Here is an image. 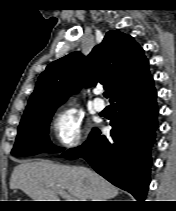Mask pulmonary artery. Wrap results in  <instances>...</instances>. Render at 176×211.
<instances>
[{"label":"pulmonary artery","mask_w":176,"mask_h":211,"mask_svg":"<svg viewBox=\"0 0 176 211\" xmlns=\"http://www.w3.org/2000/svg\"><path fill=\"white\" fill-rule=\"evenodd\" d=\"M93 106L96 111H103L106 105H105V102L101 98L97 97L93 101Z\"/></svg>","instance_id":"e3ab8cb5"}]
</instances>
